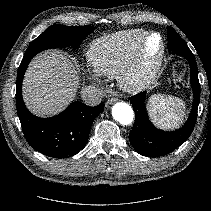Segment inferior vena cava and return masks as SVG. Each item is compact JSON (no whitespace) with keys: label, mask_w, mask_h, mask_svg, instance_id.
<instances>
[{"label":"inferior vena cava","mask_w":211,"mask_h":211,"mask_svg":"<svg viewBox=\"0 0 211 211\" xmlns=\"http://www.w3.org/2000/svg\"><path fill=\"white\" fill-rule=\"evenodd\" d=\"M103 97V92L94 86H85L81 91V98L86 105L96 106Z\"/></svg>","instance_id":"602c4592"}]
</instances>
